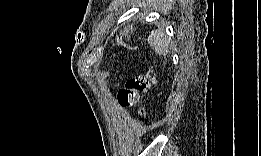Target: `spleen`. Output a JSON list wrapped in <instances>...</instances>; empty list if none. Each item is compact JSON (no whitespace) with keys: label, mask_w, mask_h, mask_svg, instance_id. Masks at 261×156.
Returning <instances> with one entry per match:
<instances>
[{"label":"spleen","mask_w":261,"mask_h":156,"mask_svg":"<svg viewBox=\"0 0 261 156\" xmlns=\"http://www.w3.org/2000/svg\"><path fill=\"white\" fill-rule=\"evenodd\" d=\"M148 43L153 50L159 54L166 56L169 52V39L165 35L164 29L152 31L148 37Z\"/></svg>","instance_id":"obj_1"}]
</instances>
